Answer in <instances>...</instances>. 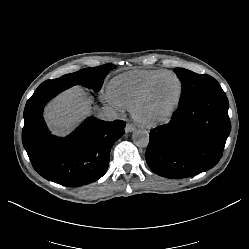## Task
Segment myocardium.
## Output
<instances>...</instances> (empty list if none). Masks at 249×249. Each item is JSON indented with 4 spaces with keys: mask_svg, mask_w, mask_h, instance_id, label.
<instances>
[{
    "mask_svg": "<svg viewBox=\"0 0 249 249\" xmlns=\"http://www.w3.org/2000/svg\"><path fill=\"white\" fill-rule=\"evenodd\" d=\"M174 77L179 84V94L175 104L164 114L156 117H144L140 113V108L145 100L148 98L149 94L151 93L153 87L163 78L165 77ZM184 96V84L182 79L179 75L174 72H165L150 80L146 86L141 90V92L137 95L134 99L133 103L130 106V112L133 119L140 125L145 127H155L158 125H162L167 123L171 120L174 116L178 108L180 107Z\"/></svg>",
    "mask_w": 249,
    "mask_h": 249,
    "instance_id": "obj_1",
    "label": "myocardium"
}]
</instances>
